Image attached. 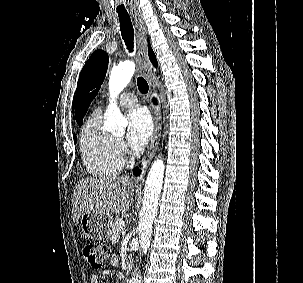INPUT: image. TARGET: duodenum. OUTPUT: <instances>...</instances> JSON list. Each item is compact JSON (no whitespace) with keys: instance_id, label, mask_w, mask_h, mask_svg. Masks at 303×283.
Returning a JSON list of instances; mask_svg holds the SVG:
<instances>
[{"instance_id":"duodenum-1","label":"duodenum","mask_w":303,"mask_h":283,"mask_svg":"<svg viewBox=\"0 0 303 283\" xmlns=\"http://www.w3.org/2000/svg\"><path fill=\"white\" fill-rule=\"evenodd\" d=\"M131 269H132V264H131V263H128V264L126 265V272H130Z\"/></svg>"}]
</instances>
